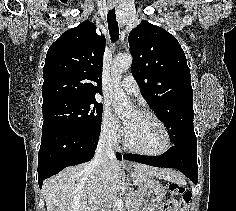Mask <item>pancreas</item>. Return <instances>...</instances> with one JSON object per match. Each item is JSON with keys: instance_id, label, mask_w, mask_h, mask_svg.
<instances>
[{"instance_id": "obj_1", "label": "pancreas", "mask_w": 236, "mask_h": 211, "mask_svg": "<svg viewBox=\"0 0 236 211\" xmlns=\"http://www.w3.org/2000/svg\"><path fill=\"white\" fill-rule=\"evenodd\" d=\"M124 199L126 201L130 200V205L128 207V211H141V206H140V202H139V199L136 195V193L134 192H131L129 194H127ZM113 211H122L120 210L117 206H114L113 207Z\"/></svg>"}]
</instances>
